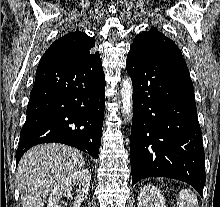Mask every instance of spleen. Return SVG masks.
<instances>
[{
	"mask_svg": "<svg viewBox=\"0 0 220 207\" xmlns=\"http://www.w3.org/2000/svg\"><path fill=\"white\" fill-rule=\"evenodd\" d=\"M178 207H199L196 195L189 189L179 193Z\"/></svg>",
	"mask_w": 220,
	"mask_h": 207,
	"instance_id": "1",
	"label": "spleen"
}]
</instances>
